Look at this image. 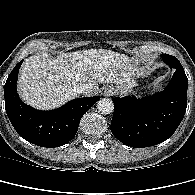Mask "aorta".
Listing matches in <instances>:
<instances>
[{
    "label": "aorta",
    "instance_id": "obj_1",
    "mask_svg": "<svg viewBox=\"0 0 195 195\" xmlns=\"http://www.w3.org/2000/svg\"><path fill=\"white\" fill-rule=\"evenodd\" d=\"M97 109L102 114L105 115L110 114L114 110V103L111 99H106V98L100 99L97 102Z\"/></svg>",
    "mask_w": 195,
    "mask_h": 195
}]
</instances>
